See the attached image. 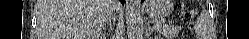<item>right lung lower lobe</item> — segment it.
<instances>
[{
  "label": "right lung lower lobe",
  "instance_id": "obj_1",
  "mask_svg": "<svg viewBox=\"0 0 249 39\" xmlns=\"http://www.w3.org/2000/svg\"><path fill=\"white\" fill-rule=\"evenodd\" d=\"M120 1H121L122 4H124V1H125V0H120Z\"/></svg>",
  "mask_w": 249,
  "mask_h": 39
}]
</instances>
